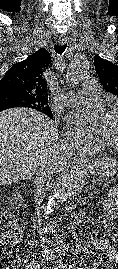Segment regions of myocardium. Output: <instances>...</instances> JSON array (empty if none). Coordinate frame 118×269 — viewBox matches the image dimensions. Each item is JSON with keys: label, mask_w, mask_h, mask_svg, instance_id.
<instances>
[{"label": "myocardium", "mask_w": 118, "mask_h": 269, "mask_svg": "<svg viewBox=\"0 0 118 269\" xmlns=\"http://www.w3.org/2000/svg\"><path fill=\"white\" fill-rule=\"evenodd\" d=\"M117 112H118V105H113L110 108L108 114H113V113H117ZM101 145L109 146L111 149L118 152V143L112 142L110 140L102 139V140H98V145L95 148H99V146H101Z\"/></svg>", "instance_id": "myocardium-1"}]
</instances>
